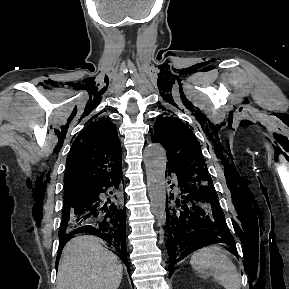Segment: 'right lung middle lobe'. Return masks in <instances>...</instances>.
<instances>
[{
    "mask_svg": "<svg viewBox=\"0 0 289 289\" xmlns=\"http://www.w3.org/2000/svg\"><path fill=\"white\" fill-rule=\"evenodd\" d=\"M81 198V195L76 196H65L64 197V206L70 207L71 205L77 203V201Z\"/></svg>",
    "mask_w": 289,
    "mask_h": 289,
    "instance_id": "right-lung-middle-lobe-1",
    "label": "right lung middle lobe"
}]
</instances>
